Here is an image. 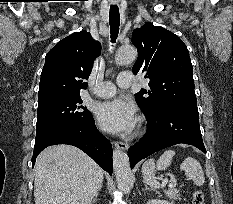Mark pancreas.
<instances>
[{
    "label": "pancreas",
    "instance_id": "pancreas-1",
    "mask_svg": "<svg viewBox=\"0 0 233 204\" xmlns=\"http://www.w3.org/2000/svg\"><path fill=\"white\" fill-rule=\"evenodd\" d=\"M165 195L171 200H180L179 190L175 188H169L165 190Z\"/></svg>",
    "mask_w": 233,
    "mask_h": 204
}]
</instances>
